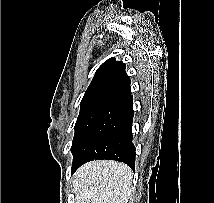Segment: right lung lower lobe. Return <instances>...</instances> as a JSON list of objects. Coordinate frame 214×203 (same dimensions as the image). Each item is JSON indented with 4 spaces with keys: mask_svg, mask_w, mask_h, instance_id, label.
Wrapping results in <instances>:
<instances>
[{
    "mask_svg": "<svg viewBox=\"0 0 214 203\" xmlns=\"http://www.w3.org/2000/svg\"><path fill=\"white\" fill-rule=\"evenodd\" d=\"M133 115L131 92L115 99L73 152L72 173L82 164L99 159L124 162L134 170L136 152L132 143Z\"/></svg>",
    "mask_w": 214,
    "mask_h": 203,
    "instance_id": "right-lung-lower-lobe-1",
    "label": "right lung lower lobe"
}]
</instances>
